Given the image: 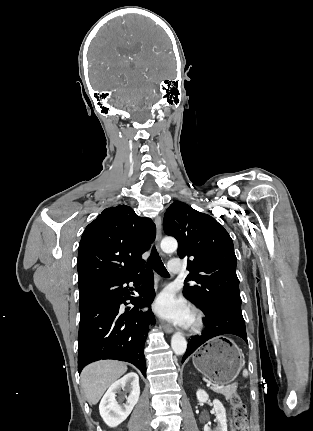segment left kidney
Segmentation results:
<instances>
[{
    "instance_id": "left-kidney-1",
    "label": "left kidney",
    "mask_w": 313,
    "mask_h": 431,
    "mask_svg": "<svg viewBox=\"0 0 313 431\" xmlns=\"http://www.w3.org/2000/svg\"><path fill=\"white\" fill-rule=\"evenodd\" d=\"M196 396L199 402H206L209 398L204 390H198ZM214 410L216 412L217 428L215 431H227L226 410L219 400H213ZM204 431H212L209 426H204Z\"/></svg>"
}]
</instances>
